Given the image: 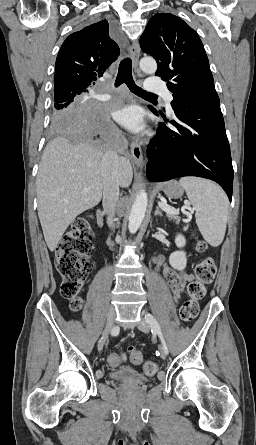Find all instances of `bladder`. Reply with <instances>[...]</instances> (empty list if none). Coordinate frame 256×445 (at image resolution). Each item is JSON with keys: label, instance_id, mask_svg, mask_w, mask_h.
Masks as SVG:
<instances>
[{"label": "bladder", "instance_id": "bladder-1", "mask_svg": "<svg viewBox=\"0 0 256 445\" xmlns=\"http://www.w3.org/2000/svg\"><path fill=\"white\" fill-rule=\"evenodd\" d=\"M110 377L118 382L138 384L146 383L149 379L132 367H120L110 372Z\"/></svg>", "mask_w": 256, "mask_h": 445}]
</instances>
